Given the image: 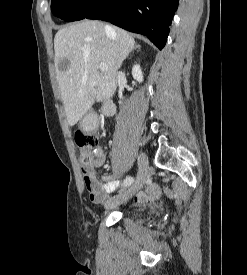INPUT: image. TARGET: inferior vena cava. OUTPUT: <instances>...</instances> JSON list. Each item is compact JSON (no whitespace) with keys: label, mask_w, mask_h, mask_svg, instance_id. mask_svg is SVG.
I'll return each mask as SVG.
<instances>
[{"label":"inferior vena cava","mask_w":247,"mask_h":275,"mask_svg":"<svg viewBox=\"0 0 247 275\" xmlns=\"http://www.w3.org/2000/svg\"><path fill=\"white\" fill-rule=\"evenodd\" d=\"M106 30H110V27H109V26H106Z\"/></svg>","instance_id":"obj_1"}]
</instances>
